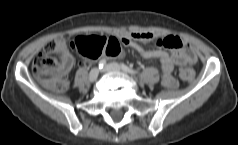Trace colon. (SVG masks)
<instances>
[{
    "instance_id": "1",
    "label": "colon",
    "mask_w": 238,
    "mask_h": 145,
    "mask_svg": "<svg viewBox=\"0 0 238 145\" xmlns=\"http://www.w3.org/2000/svg\"><path fill=\"white\" fill-rule=\"evenodd\" d=\"M71 46L86 61L95 60L103 55L117 57L122 54L121 42L115 37L79 36L71 42ZM60 42L50 41L33 59L32 72L46 86L63 92L68 86L66 75L59 69ZM191 68L180 70V77L186 81L193 78Z\"/></svg>"
}]
</instances>
